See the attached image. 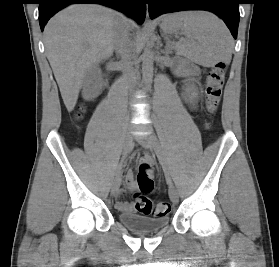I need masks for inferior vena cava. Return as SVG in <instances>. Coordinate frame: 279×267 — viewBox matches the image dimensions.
Segmentation results:
<instances>
[{
	"mask_svg": "<svg viewBox=\"0 0 279 267\" xmlns=\"http://www.w3.org/2000/svg\"><path fill=\"white\" fill-rule=\"evenodd\" d=\"M113 43L115 50L121 57V61L124 65L127 82L131 87H133L136 83V77L134 68L130 61L131 45L129 38V26L127 24L126 17H123V20L115 27Z\"/></svg>",
	"mask_w": 279,
	"mask_h": 267,
	"instance_id": "inferior-vena-cava-1",
	"label": "inferior vena cava"
}]
</instances>
